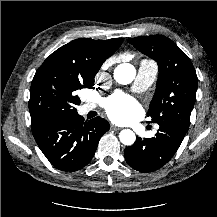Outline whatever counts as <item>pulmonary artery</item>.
Returning a JSON list of instances; mask_svg holds the SVG:
<instances>
[{
  "mask_svg": "<svg viewBox=\"0 0 217 217\" xmlns=\"http://www.w3.org/2000/svg\"><path fill=\"white\" fill-rule=\"evenodd\" d=\"M158 73L157 65L153 61L142 60L138 67L137 76L135 78L132 89L134 91L140 92L146 90L149 86L153 84ZM95 108L93 103H85L81 106V114H86ZM159 126L154 127V132H157Z\"/></svg>",
  "mask_w": 217,
  "mask_h": 217,
  "instance_id": "e3ab8cb5",
  "label": "pulmonary artery"
}]
</instances>
